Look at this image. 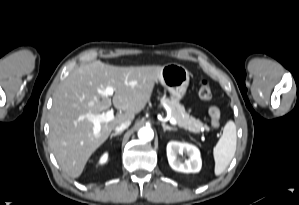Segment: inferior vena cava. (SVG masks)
<instances>
[{
	"label": "inferior vena cava",
	"mask_w": 299,
	"mask_h": 205,
	"mask_svg": "<svg viewBox=\"0 0 299 205\" xmlns=\"http://www.w3.org/2000/svg\"><path fill=\"white\" fill-rule=\"evenodd\" d=\"M131 124V121L127 120L123 123H121L120 125L115 127V131L116 132H123L126 128H128Z\"/></svg>",
	"instance_id": "602c4592"
}]
</instances>
